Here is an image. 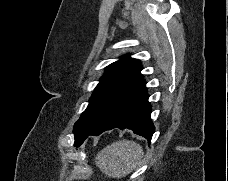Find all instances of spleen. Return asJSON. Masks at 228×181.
I'll list each match as a JSON object with an SVG mask.
<instances>
[{
  "label": "spleen",
  "instance_id": "1",
  "mask_svg": "<svg viewBox=\"0 0 228 181\" xmlns=\"http://www.w3.org/2000/svg\"><path fill=\"white\" fill-rule=\"evenodd\" d=\"M142 155V147L138 143L123 139L102 149L96 155L95 163L107 177L121 179L136 169Z\"/></svg>",
  "mask_w": 228,
  "mask_h": 181
}]
</instances>
